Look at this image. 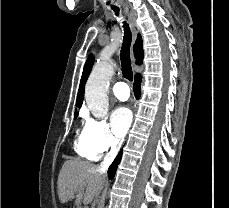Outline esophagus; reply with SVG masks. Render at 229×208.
Returning a JSON list of instances; mask_svg holds the SVG:
<instances>
[{
	"label": "esophagus",
	"instance_id": "obj_1",
	"mask_svg": "<svg viewBox=\"0 0 229 208\" xmlns=\"http://www.w3.org/2000/svg\"><path fill=\"white\" fill-rule=\"evenodd\" d=\"M128 20H129V24H130L131 31H132V46H133L140 29L136 23L135 17L132 12L129 13ZM131 58H132V61L134 62L135 58H134L132 50H131Z\"/></svg>",
	"mask_w": 229,
	"mask_h": 208
}]
</instances>
